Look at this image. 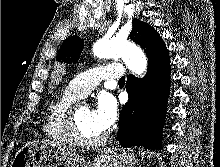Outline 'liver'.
I'll return each mask as SVG.
<instances>
[{"label": "liver", "instance_id": "6515ba94", "mask_svg": "<svg viewBox=\"0 0 220 167\" xmlns=\"http://www.w3.org/2000/svg\"><path fill=\"white\" fill-rule=\"evenodd\" d=\"M35 143H41V144H45V145H49V146H53V142L52 141H49V140H42V141H35ZM60 148V147H59ZM62 149L63 151L65 152H69V151H73L71 149H68V148H60Z\"/></svg>", "mask_w": 220, "mask_h": 167}]
</instances>
